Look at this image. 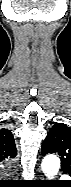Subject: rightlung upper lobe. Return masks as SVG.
<instances>
[{
  "label": "right lung upper lobe",
  "mask_w": 71,
  "mask_h": 187,
  "mask_svg": "<svg viewBox=\"0 0 71 187\" xmlns=\"http://www.w3.org/2000/svg\"><path fill=\"white\" fill-rule=\"evenodd\" d=\"M17 155L13 135L8 129H0V157L10 160Z\"/></svg>",
  "instance_id": "obj_1"
}]
</instances>
